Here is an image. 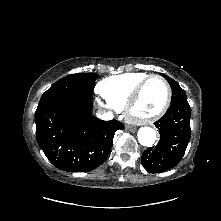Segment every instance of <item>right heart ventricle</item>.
<instances>
[{"label":"right heart ventricle","mask_w":221,"mask_h":221,"mask_svg":"<svg viewBox=\"0 0 221 221\" xmlns=\"http://www.w3.org/2000/svg\"><path fill=\"white\" fill-rule=\"evenodd\" d=\"M147 76L141 72L110 76L98 83L97 91L109 105L120 110L125 107L135 87Z\"/></svg>","instance_id":"right-heart-ventricle-1"}]
</instances>
